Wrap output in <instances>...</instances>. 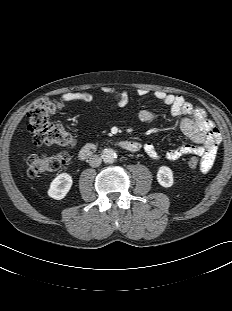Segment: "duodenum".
I'll return each instance as SVG.
<instances>
[{
  "label": "duodenum",
  "instance_id": "1",
  "mask_svg": "<svg viewBox=\"0 0 232 311\" xmlns=\"http://www.w3.org/2000/svg\"><path fill=\"white\" fill-rule=\"evenodd\" d=\"M117 145L121 149L131 153L137 152L140 148L139 144L134 141H121ZM96 150L97 146L95 144H86L81 148L79 156L81 159H87L91 157L96 152Z\"/></svg>",
  "mask_w": 232,
  "mask_h": 311
}]
</instances>
